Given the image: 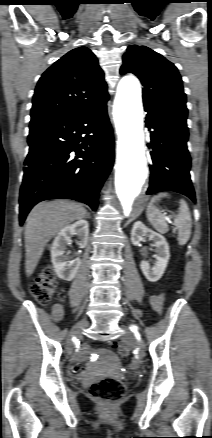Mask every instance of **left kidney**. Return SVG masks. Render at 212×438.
<instances>
[{
  "label": "left kidney",
  "mask_w": 212,
  "mask_h": 438,
  "mask_svg": "<svg viewBox=\"0 0 212 438\" xmlns=\"http://www.w3.org/2000/svg\"><path fill=\"white\" fill-rule=\"evenodd\" d=\"M144 236L154 241V246L156 247V255L154 257L156 262L151 268L147 261H142L140 268L148 281L156 282L163 276L170 259L169 245L164 236L148 228L141 221H136L131 231L132 244L138 246Z\"/></svg>",
  "instance_id": "1"
}]
</instances>
